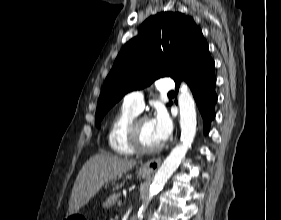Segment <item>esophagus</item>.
I'll list each match as a JSON object with an SVG mask.
<instances>
[{
  "label": "esophagus",
  "mask_w": 281,
  "mask_h": 220,
  "mask_svg": "<svg viewBox=\"0 0 281 220\" xmlns=\"http://www.w3.org/2000/svg\"><path fill=\"white\" fill-rule=\"evenodd\" d=\"M162 160L161 158H155V159H151L148 162H146L143 166V170L147 171V172H154L158 169V167L160 166Z\"/></svg>",
  "instance_id": "34e87169"
}]
</instances>
